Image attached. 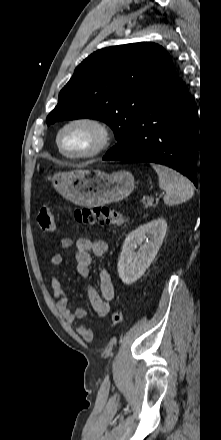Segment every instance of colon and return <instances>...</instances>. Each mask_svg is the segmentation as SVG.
I'll use <instances>...</instances> for the list:
<instances>
[{
	"label": "colon",
	"mask_w": 221,
	"mask_h": 440,
	"mask_svg": "<svg viewBox=\"0 0 221 440\" xmlns=\"http://www.w3.org/2000/svg\"><path fill=\"white\" fill-rule=\"evenodd\" d=\"M77 222L82 225L95 227L100 225L121 226L127 219L118 210L109 207L78 208L74 212ZM38 225L41 230L53 232L56 229V219L53 209L49 206L41 208L38 217ZM112 326L118 327L123 321V315L119 310L112 313Z\"/></svg>",
	"instance_id": "obj_1"
}]
</instances>
